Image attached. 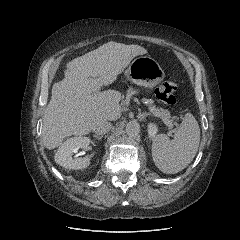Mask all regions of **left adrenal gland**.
<instances>
[{
    "mask_svg": "<svg viewBox=\"0 0 240 240\" xmlns=\"http://www.w3.org/2000/svg\"><path fill=\"white\" fill-rule=\"evenodd\" d=\"M151 114L150 113H139V118L141 120H144L147 116H150Z\"/></svg>",
    "mask_w": 240,
    "mask_h": 240,
    "instance_id": "a2214340",
    "label": "left adrenal gland"
}]
</instances>
